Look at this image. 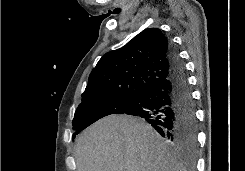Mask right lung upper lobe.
I'll use <instances>...</instances> for the list:
<instances>
[{
	"label": "right lung upper lobe",
	"instance_id": "obj_1",
	"mask_svg": "<svg viewBox=\"0 0 245 171\" xmlns=\"http://www.w3.org/2000/svg\"><path fill=\"white\" fill-rule=\"evenodd\" d=\"M171 43L158 28H148L125 46L102 56L89 76L84 100L141 96L170 75Z\"/></svg>",
	"mask_w": 245,
	"mask_h": 171
}]
</instances>
